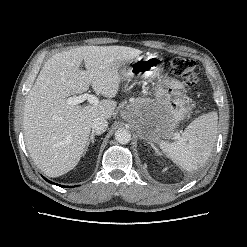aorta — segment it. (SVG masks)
<instances>
[{
	"label": "aorta",
	"mask_w": 247,
	"mask_h": 247,
	"mask_svg": "<svg viewBox=\"0 0 247 247\" xmlns=\"http://www.w3.org/2000/svg\"><path fill=\"white\" fill-rule=\"evenodd\" d=\"M115 139L120 144H127L131 140V133L127 129L120 128L115 132Z\"/></svg>",
	"instance_id": "1"
}]
</instances>
